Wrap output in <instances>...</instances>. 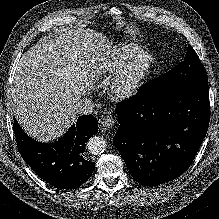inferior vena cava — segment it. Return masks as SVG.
Masks as SVG:
<instances>
[{
    "mask_svg": "<svg viewBox=\"0 0 219 219\" xmlns=\"http://www.w3.org/2000/svg\"><path fill=\"white\" fill-rule=\"evenodd\" d=\"M94 103L91 99H81L74 105V111L81 115L91 114L93 112Z\"/></svg>",
    "mask_w": 219,
    "mask_h": 219,
    "instance_id": "1",
    "label": "inferior vena cava"
}]
</instances>
